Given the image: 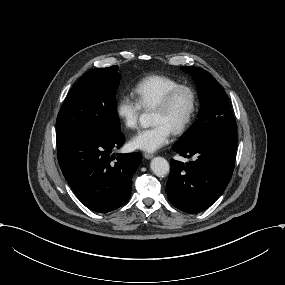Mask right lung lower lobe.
<instances>
[{"label": "right lung lower lobe", "instance_id": "98d812e1", "mask_svg": "<svg viewBox=\"0 0 285 285\" xmlns=\"http://www.w3.org/2000/svg\"><path fill=\"white\" fill-rule=\"evenodd\" d=\"M62 173L78 199L96 212L124 205L131 194L132 176L141 162L139 153L110 155L124 141L118 135L76 133L56 136ZM115 159V157H114Z\"/></svg>", "mask_w": 285, "mask_h": 285}]
</instances>
